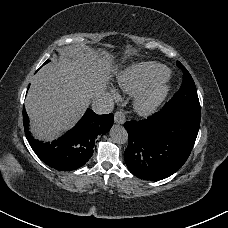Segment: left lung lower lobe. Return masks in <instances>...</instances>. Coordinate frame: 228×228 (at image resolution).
<instances>
[{
  "label": "left lung lower lobe",
  "instance_id": "left-lung-lower-lobe-1",
  "mask_svg": "<svg viewBox=\"0 0 228 228\" xmlns=\"http://www.w3.org/2000/svg\"><path fill=\"white\" fill-rule=\"evenodd\" d=\"M166 105L147 119L124 124L129 135L124 152L126 165L144 180L158 181L177 172L189 157L198 134L200 119L169 114Z\"/></svg>",
  "mask_w": 228,
  "mask_h": 228
}]
</instances>
